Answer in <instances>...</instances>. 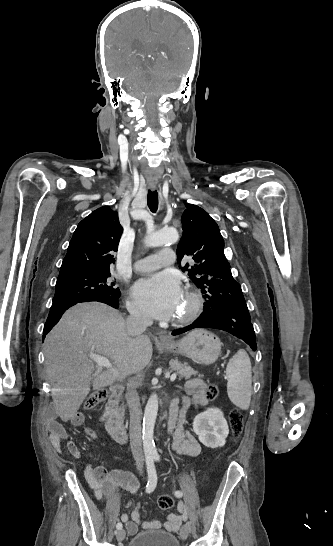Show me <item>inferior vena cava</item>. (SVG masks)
Segmentation results:
<instances>
[{
    "label": "inferior vena cava",
    "mask_w": 333,
    "mask_h": 546,
    "mask_svg": "<svg viewBox=\"0 0 333 546\" xmlns=\"http://www.w3.org/2000/svg\"><path fill=\"white\" fill-rule=\"evenodd\" d=\"M130 315L126 320L127 331L133 335L142 334L151 323L150 320L134 307L128 309ZM130 409V446L133 457L138 468L143 467V452L141 441V418L140 399L134 384L128 386L126 394Z\"/></svg>",
    "instance_id": "inferior-vena-cava-1"
}]
</instances>
